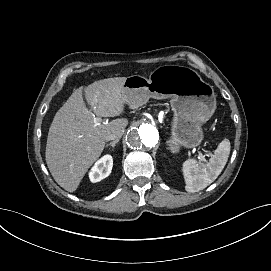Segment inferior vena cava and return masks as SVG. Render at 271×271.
Wrapping results in <instances>:
<instances>
[{
	"label": "inferior vena cava",
	"instance_id": "1",
	"mask_svg": "<svg viewBox=\"0 0 271 271\" xmlns=\"http://www.w3.org/2000/svg\"><path fill=\"white\" fill-rule=\"evenodd\" d=\"M122 134H123V131L112 133L106 137V141H110V140L119 141Z\"/></svg>",
	"mask_w": 271,
	"mask_h": 271
}]
</instances>
